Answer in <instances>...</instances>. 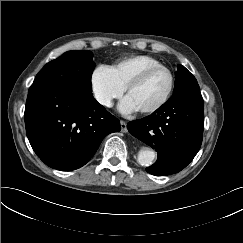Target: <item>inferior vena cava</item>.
<instances>
[{"label":"inferior vena cava","instance_id":"inferior-vena-cava-1","mask_svg":"<svg viewBox=\"0 0 243 243\" xmlns=\"http://www.w3.org/2000/svg\"><path fill=\"white\" fill-rule=\"evenodd\" d=\"M97 100L99 103H101L104 106H107V107L111 106V101L108 98L100 96V97H97Z\"/></svg>","mask_w":243,"mask_h":243}]
</instances>
